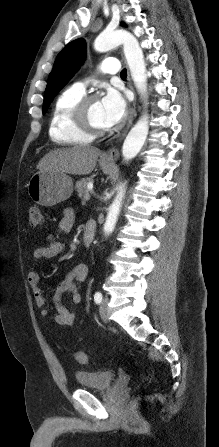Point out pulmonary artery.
I'll list each match as a JSON object with an SVG mask.
<instances>
[{"label": "pulmonary artery", "mask_w": 219, "mask_h": 447, "mask_svg": "<svg viewBox=\"0 0 219 447\" xmlns=\"http://www.w3.org/2000/svg\"><path fill=\"white\" fill-rule=\"evenodd\" d=\"M119 68L120 66L116 59H105L100 65L101 72L108 75H116L119 72ZM73 88L83 93L86 88V83H75Z\"/></svg>", "instance_id": "pulmonary-artery-1"}]
</instances>
